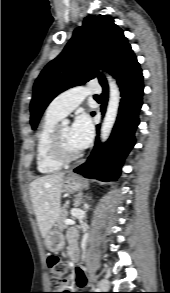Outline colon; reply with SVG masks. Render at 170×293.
Segmentation results:
<instances>
[{
  "label": "colon",
  "instance_id": "5ec220e1",
  "mask_svg": "<svg viewBox=\"0 0 170 293\" xmlns=\"http://www.w3.org/2000/svg\"><path fill=\"white\" fill-rule=\"evenodd\" d=\"M48 265L51 282L54 287L53 292L50 293H68L66 288L69 276L68 265L57 256H50L48 258Z\"/></svg>",
  "mask_w": 170,
  "mask_h": 293
}]
</instances>
